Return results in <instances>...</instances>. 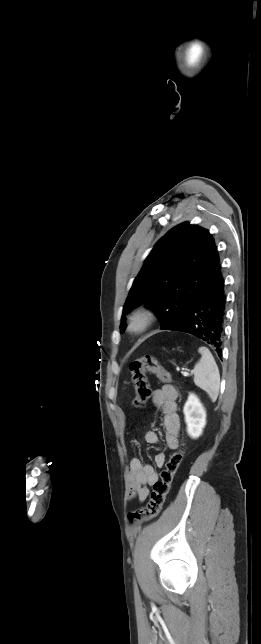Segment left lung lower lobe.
<instances>
[{
    "instance_id": "0a47b994",
    "label": "left lung lower lobe",
    "mask_w": 261,
    "mask_h": 644,
    "mask_svg": "<svg viewBox=\"0 0 261 644\" xmlns=\"http://www.w3.org/2000/svg\"><path fill=\"white\" fill-rule=\"evenodd\" d=\"M226 315V294L222 268L186 311L163 330L186 332L212 345L221 355Z\"/></svg>"
}]
</instances>
